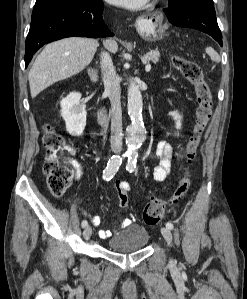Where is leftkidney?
<instances>
[{
	"label": "left kidney",
	"instance_id": "5707ae66",
	"mask_svg": "<svg viewBox=\"0 0 247 299\" xmlns=\"http://www.w3.org/2000/svg\"><path fill=\"white\" fill-rule=\"evenodd\" d=\"M173 119L175 120V126L176 129H181V120H182V116L179 114H174L173 115Z\"/></svg>",
	"mask_w": 247,
	"mask_h": 299
}]
</instances>
